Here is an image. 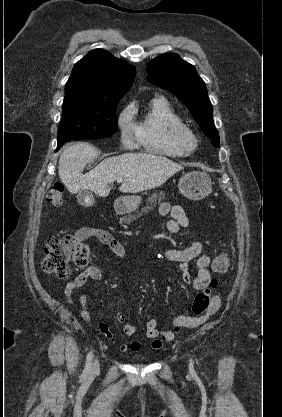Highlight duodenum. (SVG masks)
<instances>
[{"label":"duodenum","instance_id":"1","mask_svg":"<svg viewBox=\"0 0 282 417\" xmlns=\"http://www.w3.org/2000/svg\"><path fill=\"white\" fill-rule=\"evenodd\" d=\"M116 209H117V212L118 213L123 212V207H122V205L120 203L117 204Z\"/></svg>","mask_w":282,"mask_h":417}]
</instances>
